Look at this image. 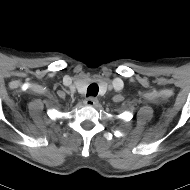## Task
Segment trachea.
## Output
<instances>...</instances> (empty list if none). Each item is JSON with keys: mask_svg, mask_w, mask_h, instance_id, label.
Returning a JSON list of instances; mask_svg holds the SVG:
<instances>
[{"mask_svg": "<svg viewBox=\"0 0 190 190\" xmlns=\"http://www.w3.org/2000/svg\"><path fill=\"white\" fill-rule=\"evenodd\" d=\"M99 87L96 83H92L87 88V96H97Z\"/></svg>", "mask_w": 190, "mask_h": 190, "instance_id": "trachea-1", "label": "trachea"}]
</instances>
